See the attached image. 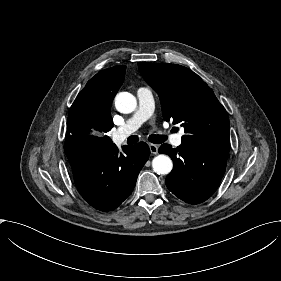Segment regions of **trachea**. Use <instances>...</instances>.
Returning <instances> with one entry per match:
<instances>
[{"label": "trachea", "instance_id": "3493384b", "mask_svg": "<svg viewBox=\"0 0 281 281\" xmlns=\"http://www.w3.org/2000/svg\"><path fill=\"white\" fill-rule=\"evenodd\" d=\"M168 139L166 135H151L149 137L150 142L155 143V144H161L165 142ZM128 142L131 144H135L138 142V137L136 135L130 136L128 138Z\"/></svg>", "mask_w": 281, "mask_h": 281}]
</instances>
